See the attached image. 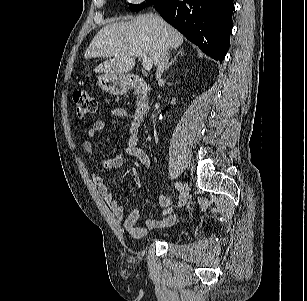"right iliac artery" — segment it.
I'll return each mask as SVG.
<instances>
[{
	"mask_svg": "<svg viewBox=\"0 0 307 301\" xmlns=\"http://www.w3.org/2000/svg\"><path fill=\"white\" fill-rule=\"evenodd\" d=\"M175 188L178 190V191H181L183 186H182V183L181 182H176L175 183ZM170 209H168L167 211H164L163 214H167L169 213Z\"/></svg>",
	"mask_w": 307,
	"mask_h": 301,
	"instance_id": "right-iliac-artery-1",
	"label": "right iliac artery"
}]
</instances>
